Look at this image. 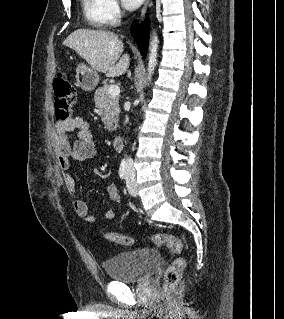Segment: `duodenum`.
Masks as SVG:
<instances>
[{"instance_id":"410a0bca","label":"duodenum","mask_w":284,"mask_h":319,"mask_svg":"<svg viewBox=\"0 0 284 319\" xmlns=\"http://www.w3.org/2000/svg\"><path fill=\"white\" fill-rule=\"evenodd\" d=\"M124 138L120 135L115 136L113 139V146L116 150H121L123 148Z\"/></svg>"}]
</instances>
